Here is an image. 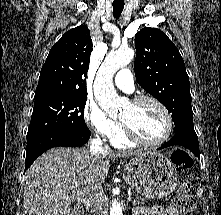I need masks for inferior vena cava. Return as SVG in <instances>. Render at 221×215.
<instances>
[{
    "label": "inferior vena cava",
    "mask_w": 221,
    "mask_h": 215,
    "mask_svg": "<svg viewBox=\"0 0 221 215\" xmlns=\"http://www.w3.org/2000/svg\"><path fill=\"white\" fill-rule=\"evenodd\" d=\"M110 150L108 146H103L102 141L100 138H95L91 140L90 143V152L95 155L99 156L100 154L107 153ZM93 209V215H106V211L104 206L102 205L100 194H96L93 198H91Z\"/></svg>",
    "instance_id": "obj_1"
}]
</instances>
